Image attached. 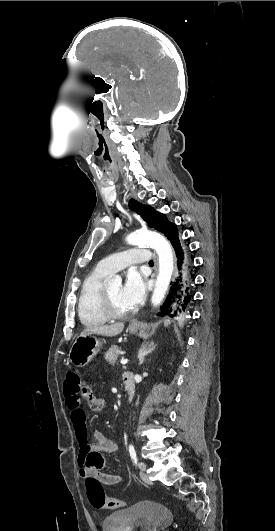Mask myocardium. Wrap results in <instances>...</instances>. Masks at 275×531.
I'll return each instance as SVG.
<instances>
[{
    "label": "myocardium",
    "instance_id": "1",
    "mask_svg": "<svg viewBox=\"0 0 275 531\" xmlns=\"http://www.w3.org/2000/svg\"><path fill=\"white\" fill-rule=\"evenodd\" d=\"M101 306H102L103 311L106 313V315L109 318H113V319H121V318L128 316L131 313V310L128 312H124V313H121L115 310L112 300H111L110 293L104 284L101 287Z\"/></svg>",
    "mask_w": 275,
    "mask_h": 531
}]
</instances>
